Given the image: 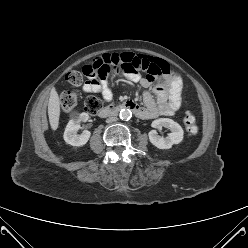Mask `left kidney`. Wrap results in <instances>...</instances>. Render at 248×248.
Returning a JSON list of instances; mask_svg holds the SVG:
<instances>
[{
    "mask_svg": "<svg viewBox=\"0 0 248 248\" xmlns=\"http://www.w3.org/2000/svg\"><path fill=\"white\" fill-rule=\"evenodd\" d=\"M153 128H167L170 133L166 138L161 137L155 130L149 132L150 142L159 149H170L174 144H179L183 140V129L175 121L169 118H160L152 122Z\"/></svg>",
    "mask_w": 248,
    "mask_h": 248,
    "instance_id": "obj_1",
    "label": "left kidney"
}]
</instances>
